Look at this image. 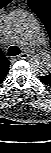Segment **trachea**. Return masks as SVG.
I'll return each instance as SVG.
<instances>
[{
    "instance_id": "1",
    "label": "trachea",
    "mask_w": 51,
    "mask_h": 153,
    "mask_svg": "<svg viewBox=\"0 0 51 153\" xmlns=\"http://www.w3.org/2000/svg\"><path fill=\"white\" fill-rule=\"evenodd\" d=\"M21 53V50L17 46H10L8 48V55L9 56H17Z\"/></svg>"
}]
</instances>
